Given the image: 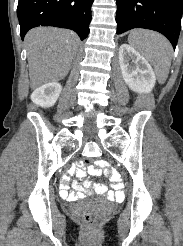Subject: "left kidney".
Instances as JSON below:
<instances>
[{
  "instance_id": "1",
  "label": "left kidney",
  "mask_w": 183,
  "mask_h": 246,
  "mask_svg": "<svg viewBox=\"0 0 183 246\" xmlns=\"http://www.w3.org/2000/svg\"><path fill=\"white\" fill-rule=\"evenodd\" d=\"M119 64L123 79L137 93L152 91L156 76L148 61L133 47L122 44L119 48Z\"/></svg>"
}]
</instances>
